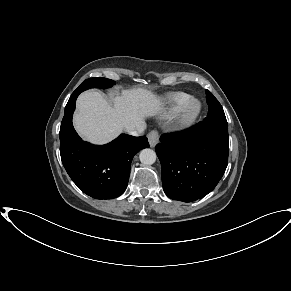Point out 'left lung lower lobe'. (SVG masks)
<instances>
[{
    "mask_svg": "<svg viewBox=\"0 0 291 291\" xmlns=\"http://www.w3.org/2000/svg\"><path fill=\"white\" fill-rule=\"evenodd\" d=\"M155 149L166 195L183 202L200 199L216 187L227 167L226 117L207 116L187 130L164 134Z\"/></svg>",
    "mask_w": 291,
    "mask_h": 291,
    "instance_id": "0a47b994",
    "label": "left lung lower lobe"
}]
</instances>
